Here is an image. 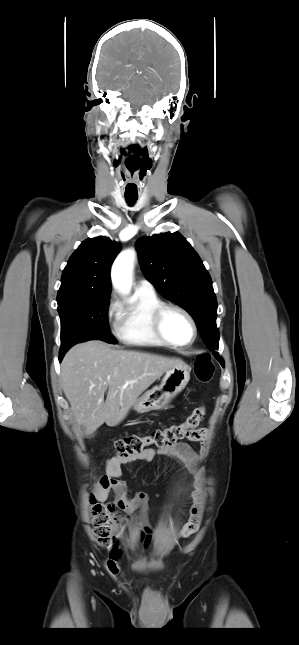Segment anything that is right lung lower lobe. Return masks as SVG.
<instances>
[{
  "mask_svg": "<svg viewBox=\"0 0 299 645\" xmlns=\"http://www.w3.org/2000/svg\"><path fill=\"white\" fill-rule=\"evenodd\" d=\"M63 356H64V354H60V355H59V361H61V360H62Z\"/></svg>",
  "mask_w": 299,
  "mask_h": 645,
  "instance_id": "obj_1",
  "label": "right lung lower lobe"
}]
</instances>
